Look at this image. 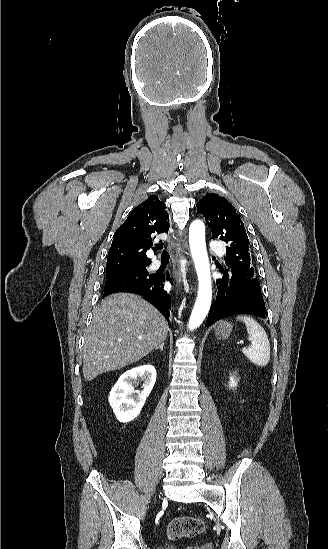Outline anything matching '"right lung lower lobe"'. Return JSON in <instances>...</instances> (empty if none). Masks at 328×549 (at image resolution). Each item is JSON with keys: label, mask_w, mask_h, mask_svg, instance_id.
<instances>
[{"label": "right lung lower lobe", "mask_w": 328, "mask_h": 549, "mask_svg": "<svg viewBox=\"0 0 328 549\" xmlns=\"http://www.w3.org/2000/svg\"><path fill=\"white\" fill-rule=\"evenodd\" d=\"M170 281V275L163 273H156L154 278L147 284H135L125 286L113 291L104 292V297L115 292H131L142 295L149 302H151L169 321L170 309H171V297L164 290V280Z\"/></svg>", "instance_id": "right-lung-lower-lobe-1"}]
</instances>
